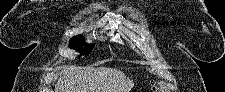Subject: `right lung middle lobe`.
Wrapping results in <instances>:
<instances>
[{"mask_svg": "<svg viewBox=\"0 0 225 92\" xmlns=\"http://www.w3.org/2000/svg\"><path fill=\"white\" fill-rule=\"evenodd\" d=\"M84 43H85V39L82 35L74 36L69 42V47L71 49H78L81 51L82 55L87 56L92 51L94 45L89 44L81 48L80 46L83 45Z\"/></svg>", "mask_w": 225, "mask_h": 92, "instance_id": "dd1d6c3e", "label": "right lung middle lobe"}]
</instances>
